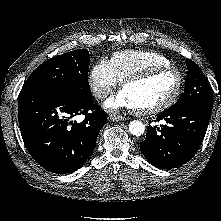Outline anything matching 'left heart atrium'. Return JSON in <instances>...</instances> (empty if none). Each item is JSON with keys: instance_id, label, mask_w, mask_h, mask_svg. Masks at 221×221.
<instances>
[{"instance_id": "left-heart-atrium-1", "label": "left heart atrium", "mask_w": 221, "mask_h": 221, "mask_svg": "<svg viewBox=\"0 0 221 221\" xmlns=\"http://www.w3.org/2000/svg\"><path fill=\"white\" fill-rule=\"evenodd\" d=\"M105 106L111 110H119V109H132L136 110L133 103L130 101L128 96L120 91L116 95L112 96L105 102Z\"/></svg>"}]
</instances>
